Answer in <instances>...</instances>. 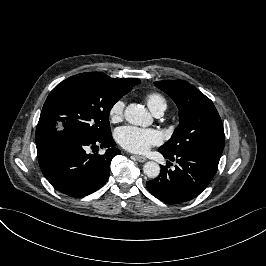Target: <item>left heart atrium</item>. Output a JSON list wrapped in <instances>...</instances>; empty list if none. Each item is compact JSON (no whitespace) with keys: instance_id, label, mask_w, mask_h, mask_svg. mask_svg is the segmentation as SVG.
<instances>
[{"instance_id":"left-heart-atrium-1","label":"left heart atrium","mask_w":266,"mask_h":266,"mask_svg":"<svg viewBox=\"0 0 266 266\" xmlns=\"http://www.w3.org/2000/svg\"><path fill=\"white\" fill-rule=\"evenodd\" d=\"M115 139L123 148L131 152L143 153L162 142V133L153 128L125 125L116 129Z\"/></svg>"}]
</instances>
